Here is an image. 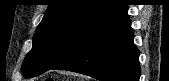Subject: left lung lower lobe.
Listing matches in <instances>:
<instances>
[{
  "mask_svg": "<svg viewBox=\"0 0 169 81\" xmlns=\"http://www.w3.org/2000/svg\"><path fill=\"white\" fill-rule=\"evenodd\" d=\"M127 10L126 2L117 0L80 32L51 69L73 71L100 81H139V51L133 43Z\"/></svg>",
  "mask_w": 169,
  "mask_h": 81,
  "instance_id": "0a47b994",
  "label": "left lung lower lobe"
}]
</instances>
